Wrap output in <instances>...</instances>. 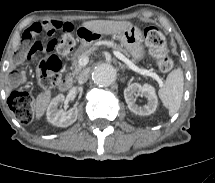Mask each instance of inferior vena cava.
Here are the masks:
<instances>
[{"mask_svg":"<svg viewBox=\"0 0 215 183\" xmlns=\"http://www.w3.org/2000/svg\"><path fill=\"white\" fill-rule=\"evenodd\" d=\"M88 79V72L86 70L82 71L79 76H78V82L80 84H83L87 81Z\"/></svg>","mask_w":215,"mask_h":183,"instance_id":"1","label":"inferior vena cava"}]
</instances>
